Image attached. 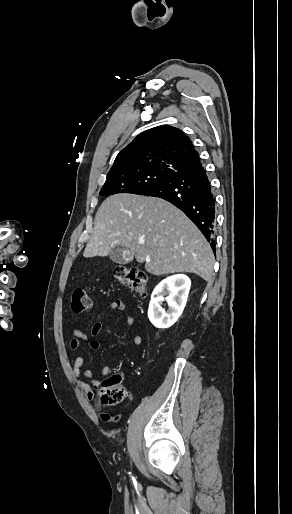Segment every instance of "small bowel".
Wrapping results in <instances>:
<instances>
[{"instance_id": "1", "label": "small bowel", "mask_w": 292, "mask_h": 514, "mask_svg": "<svg viewBox=\"0 0 292 514\" xmlns=\"http://www.w3.org/2000/svg\"><path fill=\"white\" fill-rule=\"evenodd\" d=\"M110 310L123 312L125 310V304L120 299H113L109 302L108 305ZM126 324L129 327L134 326L135 320L133 316H127L126 317ZM102 329V323L101 322H95L92 325L91 333L87 334L84 331H82L80 328L75 327L72 331L73 338L69 341V348L71 350H77L81 346V342L83 340H89V345L92 350H98L101 346V343L99 339L97 338L98 334L100 333ZM131 342L135 346H140L142 343V339L138 335H134L131 339ZM85 359L83 356H77L73 362L72 365V376L78 385L82 390H84L87 394V396L91 395V388L90 385L82 379V377L86 379H93L95 377V374L92 370L85 368ZM102 374H107L108 366L106 364H103L101 366ZM131 401L135 400L134 396L130 397Z\"/></svg>"}]
</instances>
